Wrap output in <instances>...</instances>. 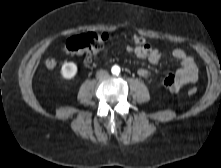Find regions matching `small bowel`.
Wrapping results in <instances>:
<instances>
[{
	"instance_id": "small-bowel-1",
	"label": "small bowel",
	"mask_w": 221,
	"mask_h": 168,
	"mask_svg": "<svg viewBox=\"0 0 221 168\" xmlns=\"http://www.w3.org/2000/svg\"><path fill=\"white\" fill-rule=\"evenodd\" d=\"M101 50L100 46L95 47L85 56V62L91 63L92 58ZM126 51L133 53L137 58L147 59L152 65H157L163 58V53L153 47L150 43H147L144 47L126 46ZM174 59L179 61L180 68L173 74H169L163 81L164 87L171 93H177L181 88L187 84L195 83L199 77V69L194 59L189 56L182 49H174L171 52ZM138 75L143 79H148L151 73L146 68H140L137 71Z\"/></svg>"
}]
</instances>
